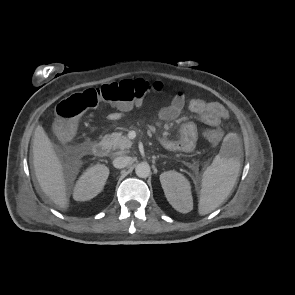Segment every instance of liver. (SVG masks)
<instances>
[{"mask_svg":"<svg viewBox=\"0 0 295 295\" xmlns=\"http://www.w3.org/2000/svg\"><path fill=\"white\" fill-rule=\"evenodd\" d=\"M32 149L34 171L42 191L58 208L67 209L69 197L64 168L41 125L34 131Z\"/></svg>","mask_w":295,"mask_h":295,"instance_id":"1","label":"liver"}]
</instances>
